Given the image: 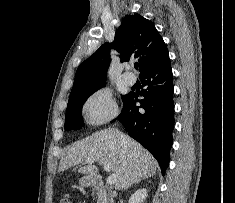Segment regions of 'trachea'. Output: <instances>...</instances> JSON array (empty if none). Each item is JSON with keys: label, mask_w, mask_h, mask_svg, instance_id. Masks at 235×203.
I'll return each mask as SVG.
<instances>
[{"label": "trachea", "mask_w": 235, "mask_h": 203, "mask_svg": "<svg viewBox=\"0 0 235 203\" xmlns=\"http://www.w3.org/2000/svg\"><path fill=\"white\" fill-rule=\"evenodd\" d=\"M134 67H135V69H137L138 68V63H135Z\"/></svg>", "instance_id": "trachea-1"}]
</instances>
